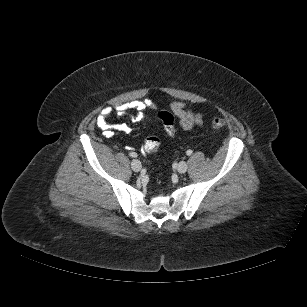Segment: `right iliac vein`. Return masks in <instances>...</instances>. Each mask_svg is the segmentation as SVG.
I'll list each match as a JSON object with an SVG mask.
<instances>
[{
  "mask_svg": "<svg viewBox=\"0 0 307 307\" xmlns=\"http://www.w3.org/2000/svg\"><path fill=\"white\" fill-rule=\"evenodd\" d=\"M131 168H132L133 171L139 172L142 168V164L139 160H133L131 162Z\"/></svg>",
  "mask_w": 307,
  "mask_h": 307,
  "instance_id": "obj_1",
  "label": "right iliac vein"
}]
</instances>
